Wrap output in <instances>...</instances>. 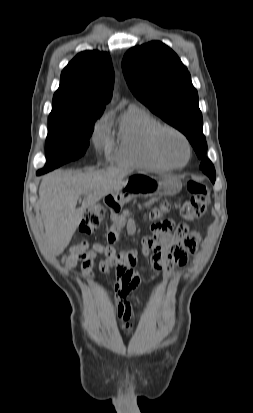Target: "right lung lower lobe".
<instances>
[{"instance_id":"1","label":"right lung lower lobe","mask_w":253,"mask_h":413,"mask_svg":"<svg viewBox=\"0 0 253 413\" xmlns=\"http://www.w3.org/2000/svg\"><path fill=\"white\" fill-rule=\"evenodd\" d=\"M37 174H38V175H41V174H44V173H42L41 171H38Z\"/></svg>"}]
</instances>
